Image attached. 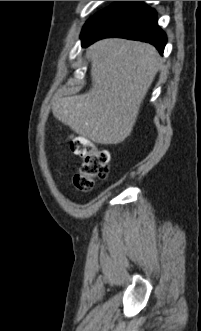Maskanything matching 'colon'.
<instances>
[{
    "label": "colon",
    "mask_w": 201,
    "mask_h": 331,
    "mask_svg": "<svg viewBox=\"0 0 201 331\" xmlns=\"http://www.w3.org/2000/svg\"><path fill=\"white\" fill-rule=\"evenodd\" d=\"M70 148L81 158L73 183L78 190L88 191L92 189L96 180L107 176L109 154L82 137H73L70 140Z\"/></svg>",
    "instance_id": "colon-1"
}]
</instances>
